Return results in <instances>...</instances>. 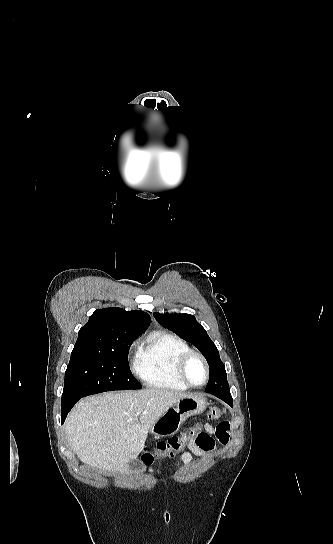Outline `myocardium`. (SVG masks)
<instances>
[{
	"mask_svg": "<svg viewBox=\"0 0 333 544\" xmlns=\"http://www.w3.org/2000/svg\"><path fill=\"white\" fill-rule=\"evenodd\" d=\"M194 358L199 359L203 363L206 370V379L202 384H199V385L192 383L187 377V373H186L188 364ZM176 375L178 379L187 387L201 388L209 382L211 371H210L209 363L206 360V358L201 353L191 350L181 355L180 358L178 359L176 364Z\"/></svg>",
	"mask_w": 333,
	"mask_h": 544,
	"instance_id": "myocardium-1",
	"label": "myocardium"
}]
</instances>
